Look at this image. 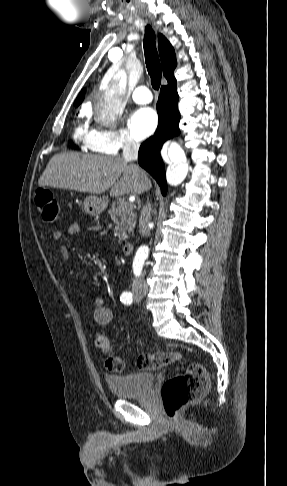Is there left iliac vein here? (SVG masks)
Instances as JSON below:
<instances>
[{"label":"left iliac vein","mask_w":287,"mask_h":486,"mask_svg":"<svg viewBox=\"0 0 287 486\" xmlns=\"http://www.w3.org/2000/svg\"><path fill=\"white\" fill-rule=\"evenodd\" d=\"M135 300H136V302H138V303H139L141 299H140V298H138V297H136V298H135Z\"/></svg>","instance_id":"left-iliac-vein-1"}]
</instances>
